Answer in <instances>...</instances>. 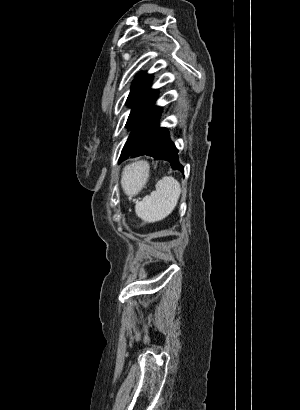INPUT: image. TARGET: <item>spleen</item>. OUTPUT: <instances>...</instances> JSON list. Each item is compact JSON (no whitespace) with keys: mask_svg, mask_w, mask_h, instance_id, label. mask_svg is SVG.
I'll use <instances>...</instances> for the list:
<instances>
[{"mask_svg":"<svg viewBox=\"0 0 300 410\" xmlns=\"http://www.w3.org/2000/svg\"><path fill=\"white\" fill-rule=\"evenodd\" d=\"M147 171L142 162L125 167L121 185L128 195L134 194V186L140 184L139 177ZM138 175V176H137ZM137 176V177H136ZM137 178V179H136ZM156 190L135 205V212L145 222H156L167 217L176 207L180 194V183L173 177H163L156 183Z\"/></svg>","mask_w":300,"mask_h":410,"instance_id":"obj_1","label":"spleen"}]
</instances>
